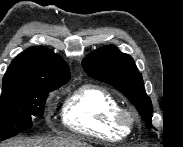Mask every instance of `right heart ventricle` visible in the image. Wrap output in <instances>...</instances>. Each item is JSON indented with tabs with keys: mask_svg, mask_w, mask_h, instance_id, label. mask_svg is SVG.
Returning <instances> with one entry per match:
<instances>
[{
	"mask_svg": "<svg viewBox=\"0 0 183 147\" xmlns=\"http://www.w3.org/2000/svg\"><path fill=\"white\" fill-rule=\"evenodd\" d=\"M118 107L119 102L108 89L98 85H82L66 99L63 123L70 131L82 136L120 140L129 131L119 128L112 120Z\"/></svg>",
	"mask_w": 183,
	"mask_h": 147,
	"instance_id": "1",
	"label": "right heart ventricle"
}]
</instances>
